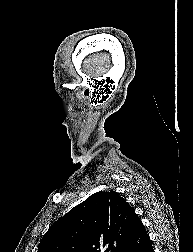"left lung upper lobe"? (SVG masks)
Masks as SVG:
<instances>
[{
    "label": "left lung upper lobe",
    "instance_id": "obj_1",
    "mask_svg": "<svg viewBox=\"0 0 193 252\" xmlns=\"http://www.w3.org/2000/svg\"><path fill=\"white\" fill-rule=\"evenodd\" d=\"M141 222L117 192H97L46 232L38 252H124Z\"/></svg>",
    "mask_w": 193,
    "mask_h": 252
}]
</instances>
